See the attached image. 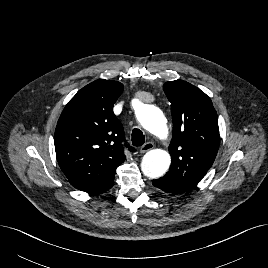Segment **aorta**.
Instances as JSON below:
<instances>
[{"label":"aorta","mask_w":268,"mask_h":268,"mask_svg":"<svg viewBox=\"0 0 268 268\" xmlns=\"http://www.w3.org/2000/svg\"><path fill=\"white\" fill-rule=\"evenodd\" d=\"M141 126L160 139L168 135L167 120L163 112L154 105H143L136 113ZM171 157L168 152L153 149L147 152L141 162L143 174L149 178H159L169 169Z\"/></svg>","instance_id":"aorta-1"}]
</instances>
